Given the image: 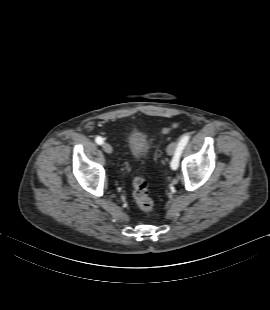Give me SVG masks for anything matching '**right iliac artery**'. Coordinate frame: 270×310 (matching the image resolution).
I'll list each match as a JSON object with an SVG mask.
<instances>
[{"label":"right iliac artery","instance_id":"right-iliac-artery-1","mask_svg":"<svg viewBox=\"0 0 270 310\" xmlns=\"http://www.w3.org/2000/svg\"><path fill=\"white\" fill-rule=\"evenodd\" d=\"M95 141H96V143L99 144V145H102L103 142H104L103 138L100 137V136H97L96 139H95Z\"/></svg>","mask_w":270,"mask_h":310}]
</instances>
